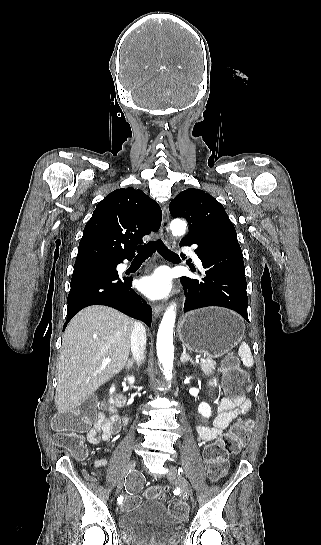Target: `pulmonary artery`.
Wrapping results in <instances>:
<instances>
[{
    "label": "pulmonary artery",
    "instance_id": "e3ab8cb5",
    "mask_svg": "<svg viewBox=\"0 0 321 545\" xmlns=\"http://www.w3.org/2000/svg\"><path fill=\"white\" fill-rule=\"evenodd\" d=\"M185 253H190V250H185ZM193 258H194L195 264L197 266L201 267L202 263H201V260L199 259V257L197 255H194Z\"/></svg>",
    "mask_w": 321,
    "mask_h": 545
}]
</instances>
